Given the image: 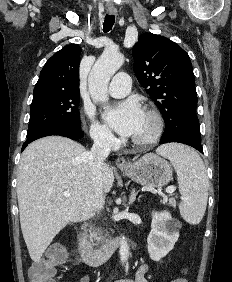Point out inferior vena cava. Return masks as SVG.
Wrapping results in <instances>:
<instances>
[{"mask_svg":"<svg viewBox=\"0 0 232 282\" xmlns=\"http://www.w3.org/2000/svg\"><path fill=\"white\" fill-rule=\"evenodd\" d=\"M113 144V138L108 132H99L94 136V144L87 155L90 178L93 185L94 205L97 211L103 208L104 193L102 184V169L104 160L108 157Z\"/></svg>","mask_w":232,"mask_h":282,"instance_id":"602c4592","label":"inferior vena cava"}]
</instances>
